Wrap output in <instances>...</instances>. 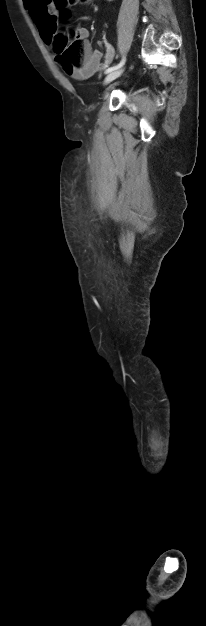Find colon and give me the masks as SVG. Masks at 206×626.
Instances as JSON below:
<instances>
[{
  "label": "colon",
  "instance_id": "colon-1",
  "mask_svg": "<svg viewBox=\"0 0 206 626\" xmlns=\"http://www.w3.org/2000/svg\"><path fill=\"white\" fill-rule=\"evenodd\" d=\"M91 1L92 0H52V3L57 10H65L73 5L89 4ZM76 35L77 32L73 29L61 34L56 40V50L61 53L68 62L79 65L83 58L84 46L81 41L77 39Z\"/></svg>",
  "mask_w": 206,
  "mask_h": 626
}]
</instances>
